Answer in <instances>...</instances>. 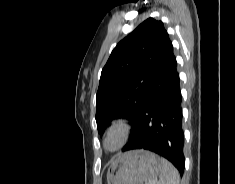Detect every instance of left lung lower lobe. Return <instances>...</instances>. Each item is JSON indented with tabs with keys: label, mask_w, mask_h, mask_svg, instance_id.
<instances>
[{
	"label": "left lung lower lobe",
	"mask_w": 235,
	"mask_h": 184,
	"mask_svg": "<svg viewBox=\"0 0 235 184\" xmlns=\"http://www.w3.org/2000/svg\"><path fill=\"white\" fill-rule=\"evenodd\" d=\"M180 103L177 62L168 37L134 132L122 151L145 149L155 152L169 160L182 175L185 159Z\"/></svg>",
	"instance_id": "obj_1"
}]
</instances>
